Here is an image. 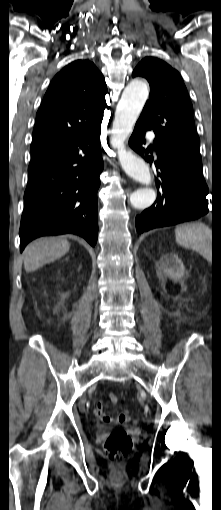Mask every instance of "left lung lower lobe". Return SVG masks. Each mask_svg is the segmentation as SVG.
Instances as JSON below:
<instances>
[{
    "instance_id": "left-lung-lower-lobe-1",
    "label": "left lung lower lobe",
    "mask_w": 221,
    "mask_h": 510,
    "mask_svg": "<svg viewBox=\"0 0 221 510\" xmlns=\"http://www.w3.org/2000/svg\"><path fill=\"white\" fill-rule=\"evenodd\" d=\"M149 126L138 120L129 139L130 147L150 165L154 162L159 179H156L157 201L136 216L139 234L154 228L175 225L198 219L209 212L207 207L208 187L202 175V161L191 157L155 138L154 145L144 147Z\"/></svg>"
}]
</instances>
